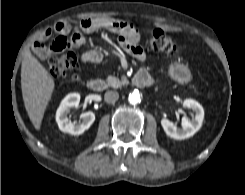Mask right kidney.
<instances>
[{
  "mask_svg": "<svg viewBox=\"0 0 245 195\" xmlns=\"http://www.w3.org/2000/svg\"><path fill=\"white\" fill-rule=\"evenodd\" d=\"M80 102L79 93L68 94L60 103V106L56 112V122L59 129L62 132L69 133L71 135H80L85 130L89 129L95 121V114L92 111H88L81 114L82 121L78 124L69 121L67 115L71 108H77Z\"/></svg>",
  "mask_w": 245,
  "mask_h": 195,
  "instance_id": "1",
  "label": "right kidney"
}]
</instances>
